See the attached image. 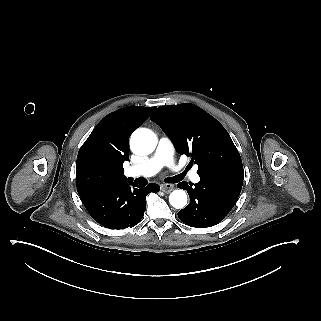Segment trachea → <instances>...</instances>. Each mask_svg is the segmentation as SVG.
I'll return each mask as SVG.
<instances>
[{
  "label": "trachea",
  "instance_id": "1",
  "mask_svg": "<svg viewBox=\"0 0 321 321\" xmlns=\"http://www.w3.org/2000/svg\"><path fill=\"white\" fill-rule=\"evenodd\" d=\"M187 172L184 171L182 172L181 174L177 175V176H174V177H169L166 179V182L167 183H177V182H180L181 180H183V178H185ZM138 184H141V185H145L146 184V181L145 182H137Z\"/></svg>",
  "mask_w": 321,
  "mask_h": 321
}]
</instances>
